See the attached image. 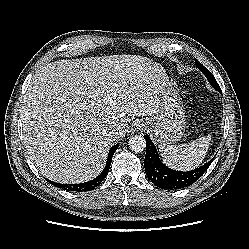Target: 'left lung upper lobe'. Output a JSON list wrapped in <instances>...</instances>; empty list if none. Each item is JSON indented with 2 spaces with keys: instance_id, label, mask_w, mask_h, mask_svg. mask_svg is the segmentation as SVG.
I'll return each mask as SVG.
<instances>
[{
  "instance_id": "1",
  "label": "left lung upper lobe",
  "mask_w": 249,
  "mask_h": 249,
  "mask_svg": "<svg viewBox=\"0 0 249 249\" xmlns=\"http://www.w3.org/2000/svg\"><path fill=\"white\" fill-rule=\"evenodd\" d=\"M195 65L197 68H199L204 75L206 76V78L208 79L209 83L217 90V91H221L216 79L214 78V76L212 75V73L206 68L204 67L198 60L195 61Z\"/></svg>"
}]
</instances>
